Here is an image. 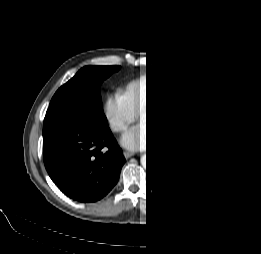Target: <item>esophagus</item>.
I'll list each match as a JSON object with an SVG mask.
<instances>
[{
  "instance_id": "1",
  "label": "esophagus",
  "mask_w": 261,
  "mask_h": 254,
  "mask_svg": "<svg viewBox=\"0 0 261 254\" xmlns=\"http://www.w3.org/2000/svg\"><path fill=\"white\" fill-rule=\"evenodd\" d=\"M123 155L125 156V158H129L131 156L130 152L124 151Z\"/></svg>"
}]
</instances>
